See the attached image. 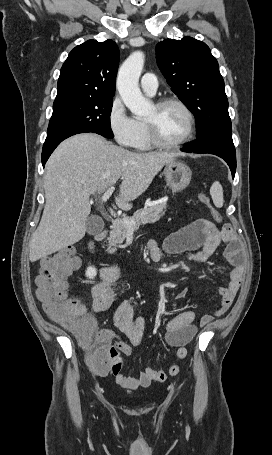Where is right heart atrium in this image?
Segmentation results:
<instances>
[{
  "label": "right heart atrium",
  "mask_w": 272,
  "mask_h": 455,
  "mask_svg": "<svg viewBox=\"0 0 272 455\" xmlns=\"http://www.w3.org/2000/svg\"><path fill=\"white\" fill-rule=\"evenodd\" d=\"M107 119L110 132L117 144L123 147H133L139 132L138 123L128 114L124 103L118 96L111 101Z\"/></svg>",
  "instance_id": "1"
}]
</instances>
